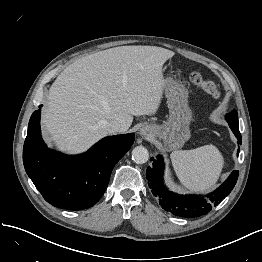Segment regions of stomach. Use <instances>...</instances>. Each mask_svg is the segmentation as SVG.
Wrapping results in <instances>:
<instances>
[{
    "mask_svg": "<svg viewBox=\"0 0 262 262\" xmlns=\"http://www.w3.org/2000/svg\"><path fill=\"white\" fill-rule=\"evenodd\" d=\"M164 81L169 117L163 124H151L150 128L154 136L163 140L166 150H176L190 138L189 124L192 120V112L188 106L186 88L171 77H167Z\"/></svg>",
    "mask_w": 262,
    "mask_h": 262,
    "instance_id": "1",
    "label": "stomach"
}]
</instances>
